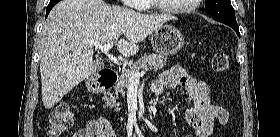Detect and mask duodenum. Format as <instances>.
<instances>
[{
    "mask_svg": "<svg viewBox=\"0 0 280 137\" xmlns=\"http://www.w3.org/2000/svg\"><path fill=\"white\" fill-rule=\"evenodd\" d=\"M118 74L116 71L109 70L102 74L96 83V91L102 92L109 90L117 84Z\"/></svg>",
    "mask_w": 280,
    "mask_h": 137,
    "instance_id": "410a0bca",
    "label": "duodenum"
}]
</instances>
